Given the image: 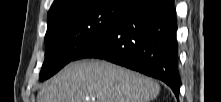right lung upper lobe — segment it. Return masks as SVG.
Segmentation results:
<instances>
[{"label":"right lung upper lobe","instance_id":"cb5924a9","mask_svg":"<svg viewBox=\"0 0 221 102\" xmlns=\"http://www.w3.org/2000/svg\"><path fill=\"white\" fill-rule=\"evenodd\" d=\"M84 0H54L49 12H48V18L63 11L68 8H71L78 3L82 2ZM133 4V6L137 5L142 0H130Z\"/></svg>","mask_w":221,"mask_h":102}]
</instances>
